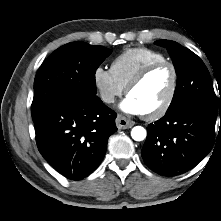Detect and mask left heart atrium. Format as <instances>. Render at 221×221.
Returning <instances> with one entry per match:
<instances>
[{
  "label": "left heart atrium",
  "instance_id": "1",
  "mask_svg": "<svg viewBox=\"0 0 221 221\" xmlns=\"http://www.w3.org/2000/svg\"><path fill=\"white\" fill-rule=\"evenodd\" d=\"M120 107L125 112L131 114H143V110L139 103L129 95L121 102Z\"/></svg>",
  "mask_w": 221,
  "mask_h": 221
}]
</instances>
